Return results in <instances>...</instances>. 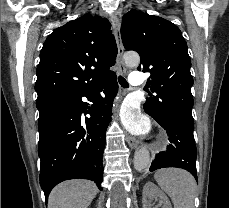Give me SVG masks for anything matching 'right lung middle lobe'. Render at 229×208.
I'll return each mask as SVG.
<instances>
[{
  "label": "right lung middle lobe",
  "instance_id": "dd1d6c3e",
  "mask_svg": "<svg viewBox=\"0 0 229 208\" xmlns=\"http://www.w3.org/2000/svg\"><path fill=\"white\" fill-rule=\"evenodd\" d=\"M72 100L73 99H54L42 103H37V109L40 113L38 121L44 119L58 108L70 103Z\"/></svg>",
  "mask_w": 229,
  "mask_h": 208
}]
</instances>
